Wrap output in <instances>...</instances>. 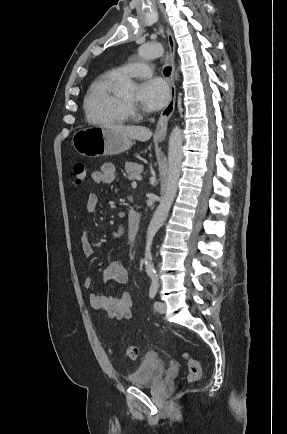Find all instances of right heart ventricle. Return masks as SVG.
<instances>
[{"label": "right heart ventricle", "instance_id": "right-heart-ventricle-1", "mask_svg": "<svg viewBox=\"0 0 287 434\" xmlns=\"http://www.w3.org/2000/svg\"><path fill=\"white\" fill-rule=\"evenodd\" d=\"M123 80L119 71L112 69L91 83L84 99V111L89 122L122 124L129 120V107L117 91Z\"/></svg>", "mask_w": 287, "mask_h": 434}]
</instances>
